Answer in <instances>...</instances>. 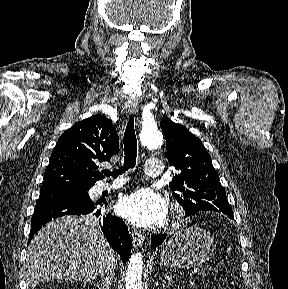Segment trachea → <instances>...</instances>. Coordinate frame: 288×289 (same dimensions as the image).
Returning <instances> with one entry per match:
<instances>
[{
  "mask_svg": "<svg viewBox=\"0 0 288 289\" xmlns=\"http://www.w3.org/2000/svg\"><path fill=\"white\" fill-rule=\"evenodd\" d=\"M124 144V163L123 166L120 167L116 171L104 170L105 176H112L113 178H117L118 175L123 174L129 168H134L136 165V157H137V139L134 129V119L133 115L130 116L126 130L123 138Z\"/></svg>",
  "mask_w": 288,
  "mask_h": 289,
  "instance_id": "obj_1",
  "label": "trachea"
}]
</instances>
